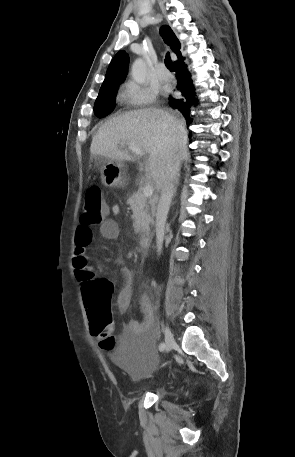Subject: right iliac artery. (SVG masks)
Instances as JSON below:
<instances>
[{"mask_svg": "<svg viewBox=\"0 0 295 457\" xmlns=\"http://www.w3.org/2000/svg\"><path fill=\"white\" fill-rule=\"evenodd\" d=\"M164 349H165V344H164V343H161V344L159 345V350H160V351H163Z\"/></svg>", "mask_w": 295, "mask_h": 457, "instance_id": "obj_1", "label": "right iliac artery"}]
</instances>
